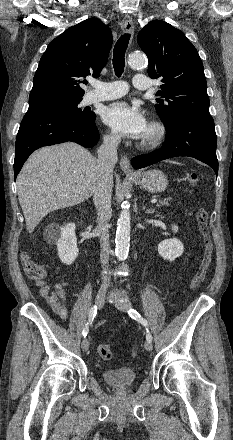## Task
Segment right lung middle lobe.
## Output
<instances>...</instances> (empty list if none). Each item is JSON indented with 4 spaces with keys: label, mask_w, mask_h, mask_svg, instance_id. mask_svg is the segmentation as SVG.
I'll list each match as a JSON object with an SVG mask.
<instances>
[{
    "label": "right lung middle lobe",
    "mask_w": 233,
    "mask_h": 440,
    "mask_svg": "<svg viewBox=\"0 0 233 440\" xmlns=\"http://www.w3.org/2000/svg\"><path fill=\"white\" fill-rule=\"evenodd\" d=\"M82 98H61L29 105V110H56L89 122L95 118L93 112L81 110L78 105Z\"/></svg>",
    "instance_id": "obj_1"
}]
</instances>
